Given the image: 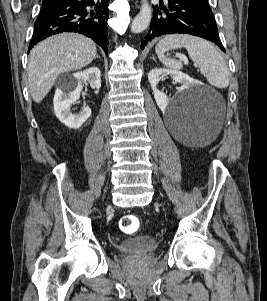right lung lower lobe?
Instances as JSON below:
<instances>
[{
  "mask_svg": "<svg viewBox=\"0 0 267 301\" xmlns=\"http://www.w3.org/2000/svg\"><path fill=\"white\" fill-rule=\"evenodd\" d=\"M109 0H57L44 5L35 22L29 49L51 35L75 32L86 35L107 54Z\"/></svg>",
  "mask_w": 267,
  "mask_h": 301,
  "instance_id": "98d812e1",
  "label": "right lung lower lobe"
}]
</instances>
